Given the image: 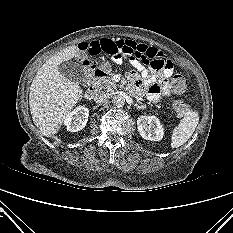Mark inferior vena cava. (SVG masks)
I'll return each instance as SVG.
<instances>
[{"instance_id":"obj_1","label":"inferior vena cava","mask_w":233,"mask_h":233,"mask_svg":"<svg viewBox=\"0 0 233 233\" xmlns=\"http://www.w3.org/2000/svg\"><path fill=\"white\" fill-rule=\"evenodd\" d=\"M110 94L109 93H105V92H99L95 95V102L96 103H103L106 102L109 98Z\"/></svg>"}]
</instances>
